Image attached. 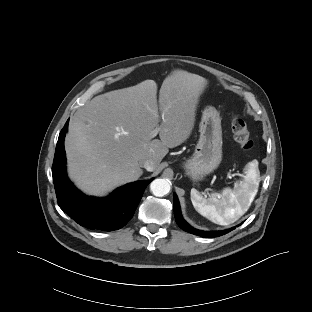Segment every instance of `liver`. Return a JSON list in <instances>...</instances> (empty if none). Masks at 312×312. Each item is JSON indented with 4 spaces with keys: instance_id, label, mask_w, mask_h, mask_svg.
Returning <instances> with one entry per match:
<instances>
[{
    "instance_id": "1",
    "label": "liver",
    "mask_w": 312,
    "mask_h": 312,
    "mask_svg": "<svg viewBox=\"0 0 312 312\" xmlns=\"http://www.w3.org/2000/svg\"><path fill=\"white\" fill-rule=\"evenodd\" d=\"M207 85L199 75L175 70L160 88L161 115L154 80L94 97L69 123L65 150L71 178L84 192L104 195L137 180L141 160L152 159L157 167L169 148L191 135ZM155 128L160 140L150 136Z\"/></svg>"
}]
</instances>
